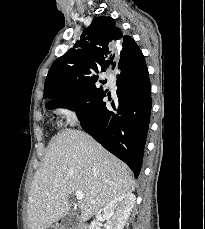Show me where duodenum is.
<instances>
[{"instance_id":"1","label":"duodenum","mask_w":205,"mask_h":229,"mask_svg":"<svg viewBox=\"0 0 205 229\" xmlns=\"http://www.w3.org/2000/svg\"><path fill=\"white\" fill-rule=\"evenodd\" d=\"M69 229H86V227L84 225H80V226L69 228Z\"/></svg>"}]
</instances>
